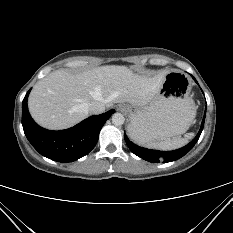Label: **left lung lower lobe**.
Here are the masks:
<instances>
[{"label":"left lung lower lobe","instance_id":"1","mask_svg":"<svg viewBox=\"0 0 233 233\" xmlns=\"http://www.w3.org/2000/svg\"><path fill=\"white\" fill-rule=\"evenodd\" d=\"M206 113V111H205ZM204 121H205V115L204 118L202 120V124L200 127V130L198 132V134L196 135V137L186 146L174 150V151H157V150H150L147 148H143L140 147L136 144H134L133 142H131L128 137L126 136V134L124 135L125 141L127 146L129 147V149L138 157L143 158L144 160H147L149 162L152 163H159L160 161L163 162H171V161H175L181 157H183L186 153H188L193 146L196 144V142L198 141L201 132L203 130L204 127Z\"/></svg>","mask_w":233,"mask_h":233}]
</instances>
